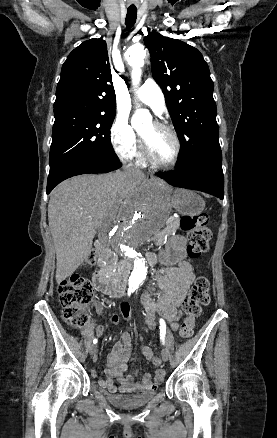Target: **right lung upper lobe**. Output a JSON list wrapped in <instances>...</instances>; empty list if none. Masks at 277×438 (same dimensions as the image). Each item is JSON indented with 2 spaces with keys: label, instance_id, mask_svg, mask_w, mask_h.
<instances>
[{
  "label": "right lung upper lobe",
  "instance_id": "cb5924a9",
  "mask_svg": "<svg viewBox=\"0 0 277 438\" xmlns=\"http://www.w3.org/2000/svg\"><path fill=\"white\" fill-rule=\"evenodd\" d=\"M116 96L106 42H83L62 66L56 89L54 116L115 115Z\"/></svg>",
  "mask_w": 277,
  "mask_h": 438
}]
</instances>
